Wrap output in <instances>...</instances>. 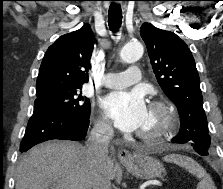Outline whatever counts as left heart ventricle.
<instances>
[{"instance_id":"b2bd125f","label":"left heart ventricle","mask_w":223,"mask_h":189,"mask_svg":"<svg viewBox=\"0 0 223 189\" xmlns=\"http://www.w3.org/2000/svg\"><path fill=\"white\" fill-rule=\"evenodd\" d=\"M158 120H159V116L156 113L150 111L149 109L146 121L144 125L141 127V129H149L153 127L158 122Z\"/></svg>"}]
</instances>
